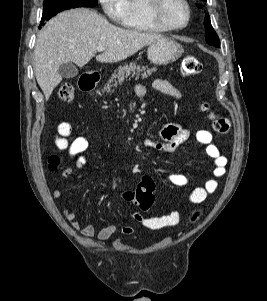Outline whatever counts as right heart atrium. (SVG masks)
<instances>
[{
    "mask_svg": "<svg viewBox=\"0 0 267 301\" xmlns=\"http://www.w3.org/2000/svg\"><path fill=\"white\" fill-rule=\"evenodd\" d=\"M106 16L116 24H123L126 16L125 0H98Z\"/></svg>",
    "mask_w": 267,
    "mask_h": 301,
    "instance_id": "1",
    "label": "right heart atrium"
}]
</instances>
